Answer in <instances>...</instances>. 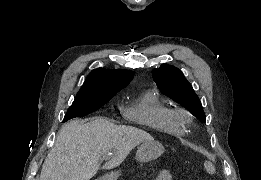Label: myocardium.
<instances>
[{
	"label": "myocardium",
	"mask_w": 261,
	"mask_h": 180,
	"mask_svg": "<svg viewBox=\"0 0 261 180\" xmlns=\"http://www.w3.org/2000/svg\"><path fill=\"white\" fill-rule=\"evenodd\" d=\"M168 117L170 120L179 123H185L189 119L188 113L182 108H171Z\"/></svg>",
	"instance_id": "f54148a6"
}]
</instances>
